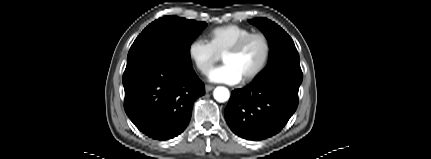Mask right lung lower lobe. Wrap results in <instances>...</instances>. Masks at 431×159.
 Here are the masks:
<instances>
[{
  "label": "right lung lower lobe",
  "instance_id": "1",
  "mask_svg": "<svg viewBox=\"0 0 431 159\" xmlns=\"http://www.w3.org/2000/svg\"><path fill=\"white\" fill-rule=\"evenodd\" d=\"M123 85L130 120L142 133L161 141L184 131L194 101L205 94L192 66L158 54L128 63Z\"/></svg>",
  "mask_w": 431,
  "mask_h": 159
}]
</instances>
